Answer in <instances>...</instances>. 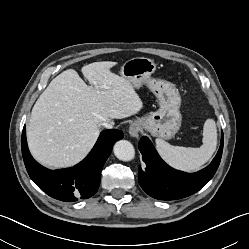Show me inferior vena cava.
<instances>
[{
	"label": "inferior vena cava",
	"instance_id": "obj_1",
	"mask_svg": "<svg viewBox=\"0 0 249 249\" xmlns=\"http://www.w3.org/2000/svg\"><path fill=\"white\" fill-rule=\"evenodd\" d=\"M103 127H105L106 129H111L113 128V122L111 121H105L102 123Z\"/></svg>",
	"mask_w": 249,
	"mask_h": 249
}]
</instances>
